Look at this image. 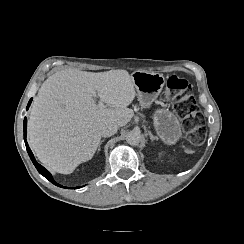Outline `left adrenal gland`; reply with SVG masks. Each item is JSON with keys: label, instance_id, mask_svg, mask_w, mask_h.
<instances>
[{"label": "left adrenal gland", "instance_id": "1", "mask_svg": "<svg viewBox=\"0 0 244 244\" xmlns=\"http://www.w3.org/2000/svg\"><path fill=\"white\" fill-rule=\"evenodd\" d=\"M149 136L151 137V141H158L157 137H154L151 133H149Z\"/></svg>", "mask_w": 244, "mask_h": 244}]
</instances>
